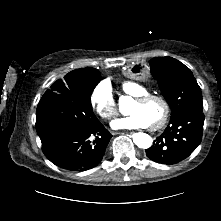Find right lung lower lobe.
<instances>
[{
	"label": "right lung lower lobe",
	"mask_w": 221,
	"mask_h": 221,
	"mask_svg": "<svg viewBox=\"0 0 221 221\" xmlns=\"http://www.w3.org/2000/svg\"><path fill=\"white\" fill-rule=\"evenodd\" d=\"M111 138L98 121L89 128L74 130L42 144V149L55 165L71 171H86L100 163Z\"/></svg>",
	"instance_id": "obj_1"
}]
</instances>
